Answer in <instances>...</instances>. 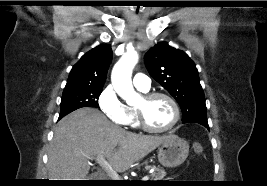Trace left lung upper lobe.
<instances>
[{"label":"left lung upper lobe","mask_w":267,"mask_h":186,"mask_svg":"<svg viewBox=\"0 0 267 186\" xmlns=\"http://www.w3.org/2000/svg\"><path fill=\"white\" fill-rule=\"evenodd\" d=\"M145 63L151 77L179 103L183 123L208 124L198 70L185 52L161 42L149 49Z\"/></svg>","instance_id":"obj_1"}]
</instances>
